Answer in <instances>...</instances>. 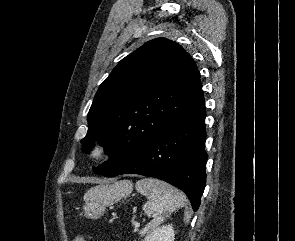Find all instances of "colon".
Returning <instances> with one entry per match:
<instances>
[{"mask_svg": "<svg viewBox=\"0 0 295 241\" xmlns=\"http://www.w3.org/2000/svg\"><path fill=\"white\" fill-rule=\"evenodd\" d=\"M73 241H86L83 237H76Z\"/></svg>", "mask_w": 295, "mask_h": 241, "instance_id": "obj_1", "label": "colon"}]
</instances>
